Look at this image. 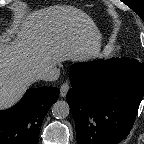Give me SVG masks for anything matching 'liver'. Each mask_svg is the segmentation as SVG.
<instances>
[{"label": "liver", "instance_id": "1", "mask_svg": "<svg viewBox=\"0 0 144 144\" xmlns=\"http://www.w3.org/2000/svg\"><path fill=\"white\" fill-rule=\"evenodd\" d=\"M10 34L0 39V109L19 101L47 68L100 56V31L88 14L73 6L19 10Z\"/></svg>", "mask_w": 144, "mask_h": 144}]
</instances>
